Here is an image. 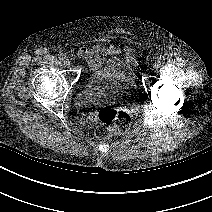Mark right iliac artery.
<instances>
[{
  "label": "right iliac artery",
  "instance_id": "obj_1",
  "mask_svg": "<svg viewBox=\"0 0 212 212\" xmlns=\"http://www.w3.org/2000/svg\"><path fill=\"white\" fill-rule=\"evenodd\" d=\"M65 58H66V56H65L64 54H60V55H59V59H60V60L63 61Z\"/></svg>",
  "mask_w": 212,
  "mask_h": 212
}]
</instances>
